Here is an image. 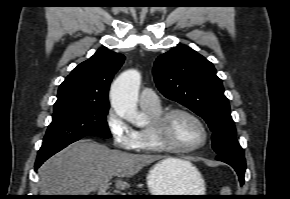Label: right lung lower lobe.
<instances>
[{"mask_svg": "<svg viewBox=\"0 0 290 199\" xmlns=\"http://www.w3.org/2000/svg\"><path fill=\"white\" fill-rule=\"evenodd\" d=\"M66 146H61V147L47 149V150H39L38 155H37V159L35 162V169H38L44 161H46L49 157H51L52 155H54L58 151L62 150Z\"/></svg>", "mask_w": 290, "mask_h": 199, "instance_id": "98d812e1", "label": "right lung lower lobe"}]
</instances>
